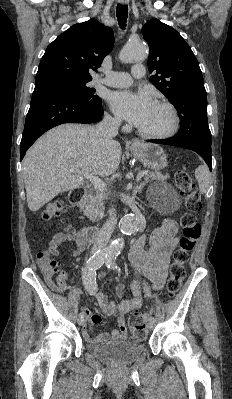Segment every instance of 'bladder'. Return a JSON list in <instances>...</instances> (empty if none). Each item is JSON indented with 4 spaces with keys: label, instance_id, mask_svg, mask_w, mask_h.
<instances>
[{
    "label": "bladder",
    "instance_id": "obj_1",
    "mask_svg": "<svg viewBox=\"0 0 232 399\" xmlns=\"http://www.w3.org/2000/svg\"><path fill=\"white\" fill-rule=\"evenodd\" d=\"M85 349L92 357L111 365H126L137 360L145 351L143 344L124 340L88 343Z\"/></svg>",
    "mask_w": 232,
    "mask_h": 399
}]
</instances>
